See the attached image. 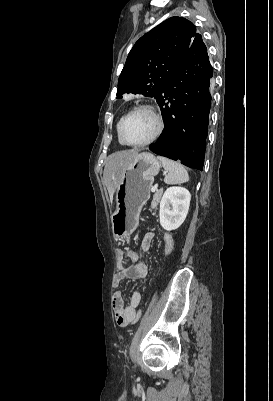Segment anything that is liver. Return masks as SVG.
Listing matches in <instances>:
<instances>
[{"mask_svg":"<svg viewBox=\"0 0 273 401\" xmlns=\"http://www.w3.org/2000/svg\"><path fill=\"white\" fill-rule=\"evenodd\" d=\"M140 154L137 148L120 150V152L109 154L104 166L103 178L104 184L107 186L109 192L110 203H113V194L122 180V170H124L130 162H133L135 158H138Z\"/></svg>","mask_w":273,"mask_h":401,"instance_id":"obj_1","label":"liver"}]
</instances>
